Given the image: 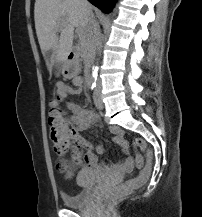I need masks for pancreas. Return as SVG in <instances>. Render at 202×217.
<instances>
[{"mask_svg": "<svg viewBox=\"0 0 202 217\" xmlns=\"http://www.w3.org/2000/svg\"><path fill=\"white\" fill-rule=\"evenodd\" d=\"M77 50L79 51L84 63H88L93 55V43L91 34L87 29L79 33Z\"/></svg>", "mask_w": 202, "mask_h": 217, "instance_id": "obj_1", "label": "pancreas"}]
</instances>
